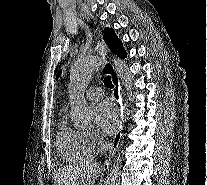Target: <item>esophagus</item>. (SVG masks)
<instances>
[{
  "label": "esophagus",
  "instance_id": "esophagus-1",
  "mask_svg": "<svg viewBox=\"0 0 207 185\" xmlns=\"http://www.w3.org/2000/svg\"><path fill=\"white\" fill-rule=\"evenodd\" d=\"M101 55H108V50H101ZM103 61H110V56H103ZM103 71L109 74L111 78L113 84L112 97L116 100V103L118 105V110H117L118 129L115 133V136L109 148L108 157L103 162L105 165L102 168V173H107L106 166L110 164L111 159L114 157V154L116 153L119 147V143L122 136H125V131H122V128L124 127V123H125L124 119H125L127 107L122 106L121 93H120L121 91L120 78L118 76L116 68L112 65V62H105V67L103 68Z\"/></svg>",
  "mask_w": 207,
  "mask_h": 185
}]
</instances>
